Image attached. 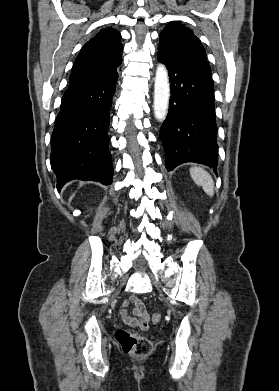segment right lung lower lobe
<instances>
[{"mask_svg":"<svg viewBox=\"0 0 279 391\" xmlns=\"http://www.w3.org/2000/svg\"><path fill=\"white\" fill-rule=\"evenodd\" d=\"M118 73L65 91L51 137V167L60 190L73 179L112 183L109 110Z\"/></svg>","mask_w":279,"mask_h":391,"instance_id":"obj_1","label":"right lung lower lobe"}]
</instances>
